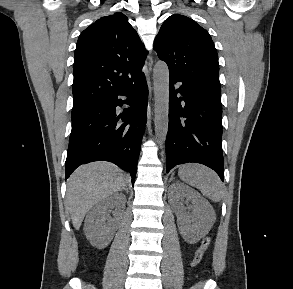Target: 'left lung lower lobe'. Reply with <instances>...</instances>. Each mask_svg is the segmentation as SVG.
<instances>
[{"instance_id":"obj_1","label":"left lung lower lobe","mask_w":293,"mask_h":289,"mask_svg":"<svg viewBox=\"0 0 293 289\" xmlns=\"http://www.w3.org/2000/svg\"><path fill=\"white\" fill-rule=\"evenodd\" d=\"M177 82L181 85L175 89ZM221 139V89L170 74L167 172L176 165L195 162L216 171L223 181Z\"/></svg>"}]
</instances>
